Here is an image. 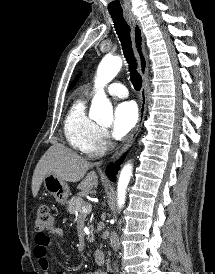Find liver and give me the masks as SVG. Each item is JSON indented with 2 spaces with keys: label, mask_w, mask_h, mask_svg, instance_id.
<instances>
[{
  "label": "liver",
  "mask_w": 215,
  "mask_h": 274,
  "mask_svg": "<svg viewBox=\"0 0 215 274\" xmlns=\"http://www.w3.org/2000/svg\"><path fill=\"white\" fill-rule=\"evenodd\" d=\"M92 167L86 159L79 156L62 144L52 145L39 160L32 178V194L37 196L44 177L53 174L67 182H78V189L89 191L98 185V177L94 171L86 172Z\"/></svg>",
  "instance_id": "liver-1"
}]
</instances>
